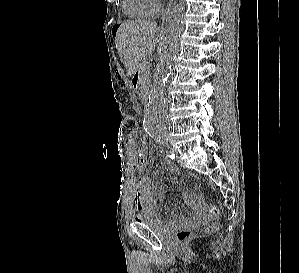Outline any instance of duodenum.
Returning <instances> with one entry per match:
<instances>
[{
  "label": "duodenum",
  "mask_w": 299,
  "mask_h": 273,
  "mask_svg": "<svg viewBox=\"0 0 299 273\" xmlns=\"http://www.w3.org/2000/svg\"><path fill=\"white\" fill-rule=\"evenodd\" d=\"M134 79L136 80V79H137V76H135Z\"/></svg>",
  "instance_id": "1"
}]
</instances>
